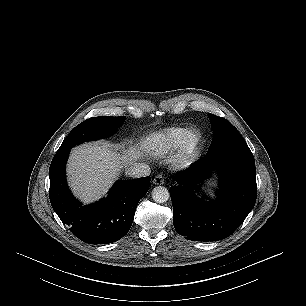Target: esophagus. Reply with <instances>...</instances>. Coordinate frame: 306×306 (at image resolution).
<instances>
[{
  "label": "esophagus",
  "instance_id": "34e87169",
  "mask_svg": "<svg viewBox=\"0 0 306 306\" xmlns=\"http://www.w3.org/2000/svg\"><path fill=\"white\" fill-rule=\"evenodd\" d=\"M164 176L162 175V174H158V175H156L155 177H154V179H153V183L155 184V185H162V184H164Z\"/></svg>",
  "mask_w": 306,
  "mask_h": 306
}]
</instances>
